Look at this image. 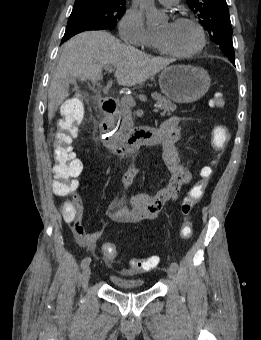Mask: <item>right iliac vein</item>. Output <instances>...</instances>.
Here are the masks:
<instances>
[{"label": "right iliac vein", "mask_w": 261, "mask_h": 340, "mask_svg": "<svg viewBox=\"0 0 261 340\" xmlns=\"http://www.w3.org/2000/svg\"><path fill=\"white\" fill-rule=\"evenodd\" d=\"M90 275H91V268L88 265L84 268V271H83L82 283L84 287H86Z\"/></svg>", "instance_id": "63e3f726"}]
</instances>
